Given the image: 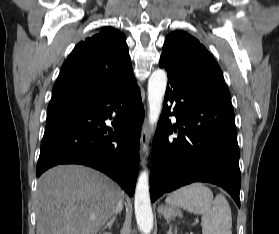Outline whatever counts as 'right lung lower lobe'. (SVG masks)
<instances>
[{"label":"right lung lower lobe","mask_w":279,"mask_h":234,"mask_svg":"<svg viewBox=\"0 0 279 234\" xmlns=\"http://www.w3.org/2000/svg\"><path fill=\"white\" fill-rule=\"evenodd\" d=\"M107 119H113L114 131ZM143 119L135 77L88 101L48 111L36 176L59 164L87 165L106 173L132 197Z\"/></svg>","instance_id":"98d812e1"}]
</instances>
